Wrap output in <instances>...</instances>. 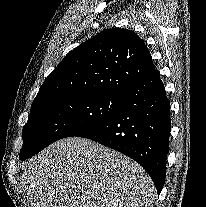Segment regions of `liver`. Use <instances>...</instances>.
Returning a JSON list of instances; mask_svg holds the SVG:
<instances>
[{"label":"liver","mask_w":206,"mask_h":207,"mask_svg":"<svg viewBox=\"0 0 206 207\" xmlns=\"http://www.w3.org/2000/svg\"><path fill=\"white\" fill-rule=\"evenodd\" d=\"M22 188L32 207H153L149 175L127 156L68 137L26 163Z\"/></svg>","instance_id":"liver-1"}]
</instances>
